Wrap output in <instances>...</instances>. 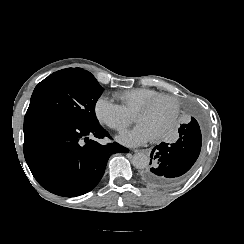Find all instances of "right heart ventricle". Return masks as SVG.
<instances>
[{
    "instance_id": "right-heart-ventricle-1",
    "label": "right heart ventricle",
    "mask_w": 244,
    "mask_h": 244,
    "mask_svg": "<svg viewBox=\"0 0 244 244\" xmlns=\"http://www.w3.org/2000/svg\"><path fill=\"white\" fill-rule=\"evenodd\" d=\"M113 96L115 98L119 99L130 112L135 113V111L137 109L142 107V104L145 101L149 102V100L152 99L153 97L160 98L163 95L154 90L139 88V89L125 91V92H115V93H113ZM171 109H172V106H171Z\"/></svg>"
}]
</instances>
